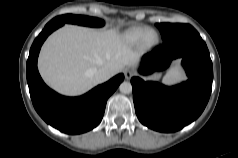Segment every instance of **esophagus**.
<instances>
[{
	"mask_svg": "<svg viewBox=\"0 0 238 158\" xmlns=\"http://www.w3.org/2000/svg\"><path fill=\"white\" fill-rule=\"evenodd\" d=\"M124 75L125 78L129 80L134 75V71L132 69H126Z\"/></svg>",
	"mask_w": 238,
	"mask_h": 158,
	"instance_id": "obj_1",
	"label": "esophagus"
}]
</instances>
